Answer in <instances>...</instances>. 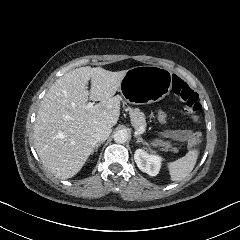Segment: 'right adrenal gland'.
Segmentation results:
<instances>
[{"label":"right adrenal gland","instance_id":"2a0ac1e0","mask_svg":"<svg viewBox=\"0 0 240 240\" xmlns=\"http://www.w3.org/2000/svg\"><path fill=\"white\" fill-rule=\"evenodd\" d=\"M103 143H104V142H99V143H97V144L94 146L91 155H93L94 152H97V151H98V147L101 146V144H103Z\"/></svg>","mask_w":240,"mask_h":240}]
</instances>
